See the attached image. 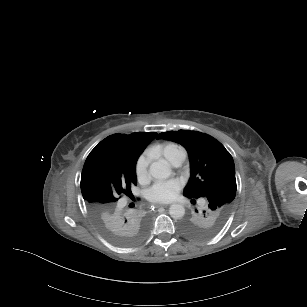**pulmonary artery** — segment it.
<instances>
[{
    "instance_id": "pulmonary-artery-1",
    "label": "pulmonary artery",
    "mask_w": 307,
    "mask_h": 307,
    "mask_svg": "<svg viewBox=\"0 0 307 307\" xmlns=\"http://www.w3.org/2000/svg\"><path fill=\"white\" fill-rule=\"evenodd\" d=\"M162 154L175 167L180 166L187 156L186 150L181 147H167L162 151ZM121 205L124 207L126 202L123 201Z\"/></svg>"
}]
</instances>
